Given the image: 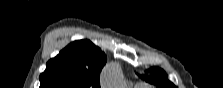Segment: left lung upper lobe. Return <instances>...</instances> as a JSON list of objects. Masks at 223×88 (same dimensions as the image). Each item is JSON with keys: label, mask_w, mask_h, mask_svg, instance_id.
Here are the masks:
<instances>
[{"label": "left lung upper lobe", "mask_w": 223, "mask_h": 88, "mask_svg": "<svg viewBox=\"0 0 223 88\" xmlns=\"http://www.w3.org/2000/svg\"><path fill=\"white\" fill-rule=\"evenodd\" d=\"M142 78L160 88H176V86L167 79L165 72L160 68H151L150 77L147 72Z\"/></svg>", "instance_id": "5c2ea615"}]
</instances>
